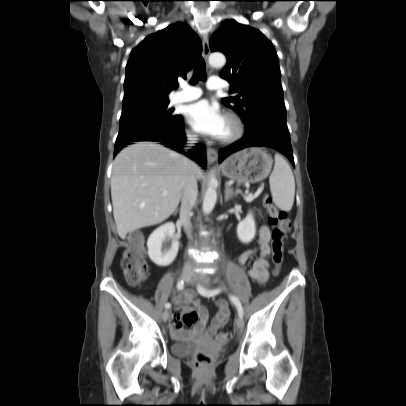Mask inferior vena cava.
Returning <instances> with one entry per match:
<instances>
[{
    "instance_id": "inferior-vena-cava-1",
    "label": "inferior vena cava",
    "mask_w": 406,
    "mask_h": 406,
    "mask_svg": "<svg viewBox=\"0 0 406 406\" xmlns=\"http://www.w3.org/2000/svg\"><path fill=\"white\" fill-rule=\"evenodd\" d=\"M187 146H193L197 143V135L188 134L187 135ZM198 195L197 180L193 167L190 161H188L184 168L183 173V190L181 195V208H180V221L183 225L185 232L188 237L191 238V222H190V213L195 205ZM186 267H190V264L187 263Z\"/></svg>"
}]
</instances>
